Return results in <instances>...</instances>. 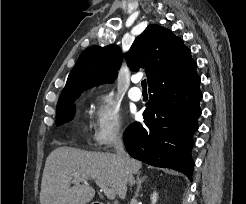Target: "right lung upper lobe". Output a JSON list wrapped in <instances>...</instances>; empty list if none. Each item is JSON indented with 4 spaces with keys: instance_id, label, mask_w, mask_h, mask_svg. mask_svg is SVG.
Returning <instances> with one entry per match:
<instances>
[{
    "instance_id": "right-lung-upper-lobe-1",
    "label": "right lung upper lobe",
    "mask_w": 246,
    "mask_h": 204,
    "mask_svg": "<svg viewBox=\"0 0 246 204\" xmlns=\"http://www.w3.org/2000/svg\"><path fill=\"white\" fill-rule=\"evenodd\" d=\"M131 70L145 68L148 85L194 61L191 51L170 30L149 25L133 42L126 54ZM121 64V51L116 45L91 46L84 50L70 72L60 99L79 96L84 90L113 82Z\"/></svg>"
}]
</instances>
